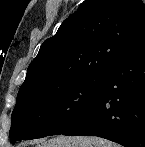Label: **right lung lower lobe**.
Segmentation results:
<instances>
[{"label":"right lung lower lobe","mask_w":145,"mask_h":147,"mask_svg":"<svg viewBox=\"0 0 145 147\" xmlns=\"http://www.w3.org/2000/svg\"><path fill=\"white\" fill-rule=\"evenodd\" d=\"M101 76L93 101L62 134L98 136L125 147H145V38Z\"/></svg>","instance_id":"98d812e1"}]
</instances>
